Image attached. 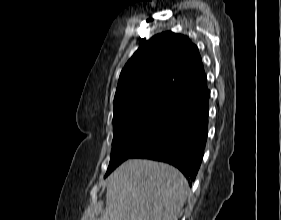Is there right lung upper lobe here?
Listing matches in <instances>:
<instances>
[{
    "label": "right lung upper lobe",
    "mask_w": 281,
    "mask_h": 220,
    "mask_svg": "<svg viewBox=\"0 0 281 220\" xmlns=\"http://www.w3.org/2000/svg\"><path fill=\"white\" fill-rule=\"evenodd\" d=\"M208 91L198 48L187 36L167 31L144 41L122 69L113 121L127 116H170Z\"/></svg>",
    "instance_id": "right-lung-upper-lobe-1"
}]
</instances>
